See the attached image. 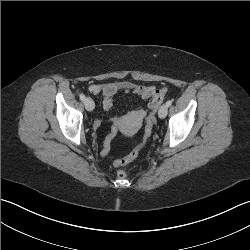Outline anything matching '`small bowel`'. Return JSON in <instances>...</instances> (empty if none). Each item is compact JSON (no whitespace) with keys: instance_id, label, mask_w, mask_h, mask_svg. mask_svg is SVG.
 <instances>
[{"instance_id":"obj_1","label":"small bowel","mask_w":250,"mask_h":250,"mask_svg":"<svg viewBox=\"0 0 250 250\" xmlns=\"http://www.w3.org/2000/svg\"><path fill=\"white\" fill-rule=\"evenodd\" d=\"M88 90L90 93L94 95L102 96L103 108L105 110L111 109V107L113 106V100L115 95L120 92L133 93L135 95H138L140 98L149 101L147 109L138 108L136 110L129 112L122 118L117 116L113 117L112 118L113 123H118V126L120 125L123 119H130L135 122L142 121L145 118L148 110H150L154 95L156 93V88L153 86L139 85L131 81H115L104 84H90L88 86ZM101 123L102 120L100 118H97L95 124L97 126H100Z\"/></svg>"}]
</instances>
